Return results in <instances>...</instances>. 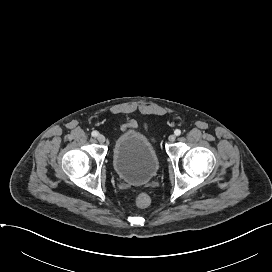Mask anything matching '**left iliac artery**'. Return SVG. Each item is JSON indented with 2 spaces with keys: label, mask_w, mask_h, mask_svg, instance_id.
<instances>
[{
  "label": "left iliac artery",
  "mask_w": 272,
  "mask_h": 272,
  "mask_svg": "<svg viewBox=\"0 0 272 272\" xmlns=\"http://www.w3.org/2000/svg\"><path fill=\"white\" fill-rule=\"evenodd\" d=\"M174 134H175L176 136H179V135L181 134V130L176 129V130L174 131Z\"/></svg>",
  "instance_id": "left-iliac-artery-1"
}]
</instances>
